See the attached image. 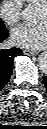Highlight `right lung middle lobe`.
<instances>
[{
	"label": "right lung middle lobe",
	"instance_id": "obj_1",
	"mask_svg": "<svg viewBox=\"0 0 47 129\" xmlns=\"http://www.w3.org/2000/svg\"><path fill=\"white\" fill-rule=\"evenodd\" d=\"M0 27H4V24L1 20H0Z\"/></svg>",
	"mask_w": 47,
	"mask_h": 129
}]
</instances>
